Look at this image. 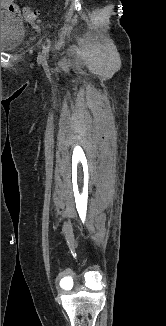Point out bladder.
<instances>
[{
    "mask_svg": "<svg viewBox=\"0 0 166 326\" xmlns=\"http://www.w3.org/2000/svg\"><path fill=\"white\" fill-rule=\"evenodd\" d=\"M25 25L22 18L1 10V51L17 48L23 40Z\"/></svg>",
    "mask_w": 166,
    "mask_h": 326,
    "instance_id": "bladder-1",
    "label": "bladder"
}]
</instances>
